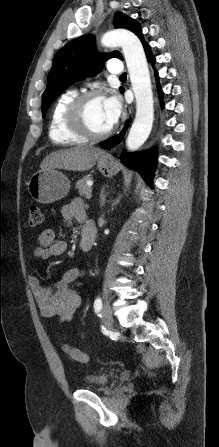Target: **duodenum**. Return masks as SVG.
<instances>
[{
	"mask_svg": "<svg viewBox=\"0 0 219 447\" xmlns=\"http://www.w3.org/2000/svg\"><path fill=\"white\" fill-rule=\"evenodd\" d=\"M96 236L95 223L92 220L84 219V227L82 231V244L83 251H89Z\"/></svg>",
	"mask_w": 219,
	"mask_h": 447,
	"instance_id": "obj_1",
	"label": "duodenum"
}]
</instances>
